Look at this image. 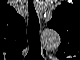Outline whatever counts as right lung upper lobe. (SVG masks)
<instances>
[{
	"label": "right lung upper lobe",
	"instance_id": "obj_1",
	"mask_svg": "<svg viewBox=\"0 0 80 60\" xmlns=\"http://www.w3.org/2000/svg\"><path fill=\"white\" fill-rule=\"evenodd\" d=\"M8 17L3 19V39L18 51H22L27 46L26 27L24 19L16 11L7 7Z\"/></svg>",
	"mask_w": 80,
	"mask_h": 60
}]
</instances>
